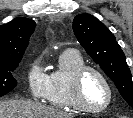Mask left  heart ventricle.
<instances>
[{"label":"left heart ventricle","mask_w":133,"mask_h":118,"mask_svg":"<svg viewBox=\"0 0 133 118\" xmlns=\"http://www.w3.org/2000/svg\"><path fill=\"white\" fill-rule=\"evenodd\" d=\"M83 97L87 105L93 108H99L107 101V88L103 80L94 72H89L84 78Z\"/></svg>","instance_id":"b2bd125f"}]
</instances>
